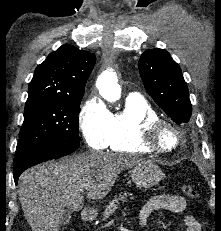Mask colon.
Segmentation results:
<instances>
[{
  "instance_id": "obj_1",
  "label": "colon",
  "mask_w": 221,
  "mask_h": 231,
  "mask_svg": "<svg viewBox=\"0 0 221 231\" xmlns=\"http://www.w3.org/2000/svg\"><path fill=\"white\" fill-rule=\"evenodd\" d=\"M181 190L186 196H188L190 198H195L197 195L194 188L188 184L182 185Z\"/></svg>"
}]
</instances>
